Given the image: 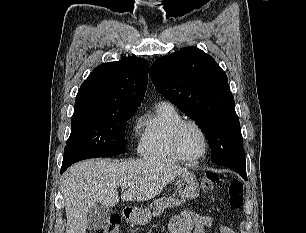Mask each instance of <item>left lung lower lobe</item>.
<instances>
[{
  "label": "left lung lower lobe",
  "mask_w": 306,
  "mask_h": 233,
  "mask_svg": "<svg viewBox=\"0 0 306 233\" xmlns=\"http://www.w3.org/2000/svg\"><path fill=\"white\" fill-rule=\"evenodd\" d=\"M225 167H228L237 173H239L244 179H247L246 177V164L243 165H226Z\"/></svg>",
  "instance_id": "0a47b994"
}]
</instances>
